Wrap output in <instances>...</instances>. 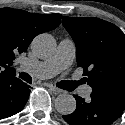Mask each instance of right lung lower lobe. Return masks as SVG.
Listing matches in <instances>:
<instances>
[{"mask_svg":"<svg viewBox=\"0 0 125 125\" xmlns=\"http://www.w3.org/2000/svg\"><path fill=\"white\" fill-rule=\"evenodd\" d=\"M30 95V86L16 77L0 80V119L20 112Z\"/></svg>","mask_w":125,"mask_h":125,"instance_id":"1","label":"right lung lower lobe"}]
</instances>
